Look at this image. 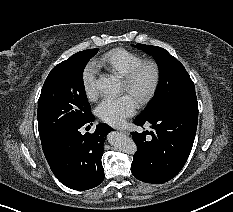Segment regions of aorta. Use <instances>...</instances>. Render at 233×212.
Returning a JSON list of instances; mask_svg holds the SVG:
<instances>
[{"label": "aorta", "instance_id": "obj_1", "mask_svg": "<svg viewBox=\"0 0 233 212\" xmlns=\"http://www.w3.org/2000/svg\"><path fill=\"white\" fill-rule=\"evenodd\" d=\"M96 87L103 93L115 95L120 91V81L112 75L101 76L97 80ZM107 139L108 142L119 151L127 154H134L137 151L135 142L130 137L122 133H109Z\"/></svg>", "mask_w": 233, "mask_h": 212}]
</instances>
